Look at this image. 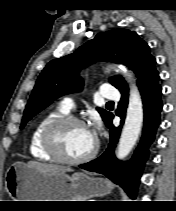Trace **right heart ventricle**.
I'll use <instances>...</instances> for the list:
<instances>
[{
	"instance_id": "e07e8e85",
	"label": "right heart ventricle",
	"mask_w": 176,
	"mask_h": 211,
	"mask_svg": "<svg viewBox=\"0 0 176 211\" xmlns=\"http://www.w3.org/2000/svg\"><path fill=\"white\" fill-rule=\"evenodd\" d=\"M61 107L45 113L34 125L28 142L30 155L40 161H55L56 159L43 146V133L47 125L54 119L66 115Z\"/></svg>"
}]
</instances>
